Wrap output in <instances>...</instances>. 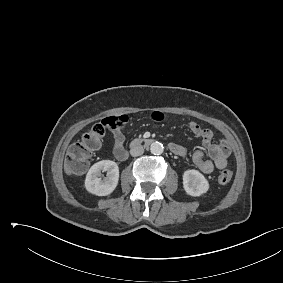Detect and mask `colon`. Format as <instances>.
I'll list each match as a JSON object with an SVG mask.
<instances>
[{"label": "colon", "mask_w": 283, "mask_h": 283, "mask_svg": "<svg viewBox=\"0 0 283 283\" xmlns=\"http://www.w3.org/2000/svg\"><path fill=\"white\" fill-rule=\"evenodd\" d=\"M105 131V124H95L71 146L67 156V166L71 173L80 174L86 171L92 155L101 147ZM232 176L231 170H222L218 175V181L221 184H227L231 181Z\"/></svg>", "instance_id": "5ec220e1"}]
</instances>
